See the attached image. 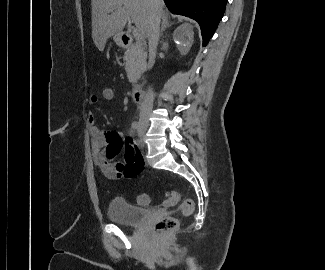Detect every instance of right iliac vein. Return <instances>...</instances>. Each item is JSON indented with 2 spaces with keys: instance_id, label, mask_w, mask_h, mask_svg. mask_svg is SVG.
I'll use <instances>...</instances> for the list:
<instances>
[{
  "instance_id": "right-iliac-vein-1",
  "label": "right iliac vein",
  "mask_w": 325,
  "mask_h": 270,
  "mask_svg": "<svg viewBox=\"0 0 325 270\" xmlns=\"http://www.w3.org/2000/svg\"><path fill=\"white\" fill-rule=\"evenodd\" d=\"M141 128L146 129L147 128V125H143Z\"/></svg>"
}]
</instances>
